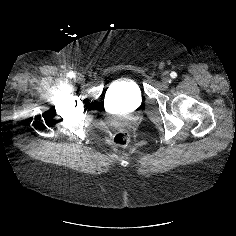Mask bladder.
<instances>
[{
  "instance_id": "bladder-1",
  "label": "bladder",
  "mask_w": 236,
  "mask_h": 236,
  "mask_svg": "<svg viewBox=\"0 0 236 236\" xmlns=\"http://www.w3.org/2000/svg\"><path fill=\"white\" fill-rule=\"evenodd\" d=\"M142 97L140 86L132 79L116 81L106 93V101L109 107L124 113L138 107L142 102Z\"/></svg>"
}]
</instances>
